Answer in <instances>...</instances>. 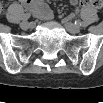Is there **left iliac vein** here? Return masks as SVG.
<instances>
[{"mask_svg": "<svg viewBox=\"0 0 103 103\" xmlns=\"http://www.w3.org/2000/svg\"><path fill=\"white\" fill-rule=\"evenodd\" d=\"M64 24H65L66 29L70 33L75 34V33H79L80 32V27L79 26H77V25H75V24H73V23H71V22H69L67 20L64 22Z\"/></svg>", "mask_w": 103, "mask_h": 103, "instance_id": "left-iliac-vein-1", "label": "left iliac vein"}]
</instances>
